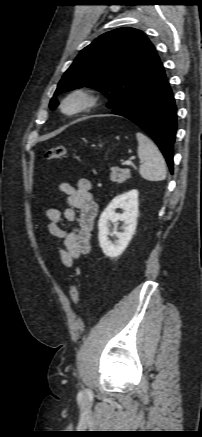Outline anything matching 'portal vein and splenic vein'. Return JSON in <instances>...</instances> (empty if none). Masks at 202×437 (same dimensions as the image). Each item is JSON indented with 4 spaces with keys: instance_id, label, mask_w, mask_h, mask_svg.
<instances>
[{
    "instance_id": "1",
    "label": "portal vein and splenic vein",
    "mask_w": 202,
    "mask_h": 437,
    "mask_svg": "<svg viewBox=\"0 0 202 437\" xmlns=\"http://www.w3.org/2000/svg\"><path fill=\"white\" fill-rule=\"evenodd\" d=\"M124 165L131 166V165H132V162H131V161H125V162H124Z\"/></svg>"
}]
</instances>
